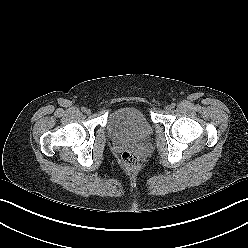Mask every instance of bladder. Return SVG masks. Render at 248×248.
I'll use <instances>...</instances> for the list:
<instances>
[{
  "instance_id": "obj_1",
  "label": "bladder",
  "mask_w": 248,
  "mask_h": 248,
  "mask_svg": "<svg viewBox=\"0 0 248 248\" xmlns=\"http://www.w3.org/2000/svg\"><path fill=\"white\" fill-rule=\"evenodd\" d=\"M106 126L108 133L115 138H142L152 129L146 115L137 108L116 110L110 115Z\"/></svg>"
}]
</instances>
